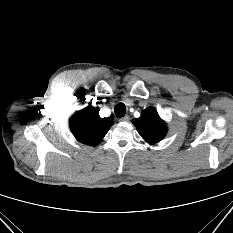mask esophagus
I'll use <instances>...</instances> for the list:
<instances>
[{"instance_id": "1", "label": "esophagus", "mask_w": 233, "mask_h": 233, "mask_svg": "<svg viewBox=\"0 0 233 233\" xmlns=\"http://www.w3.org/2000/svg\"><path fill=\"white\" fill-rule=\"evenodd\" d=\"M129 119H130L129 115H125L122 118H120V121L121 122H127V121H129Z\"/></svg>"}]
</instances>
